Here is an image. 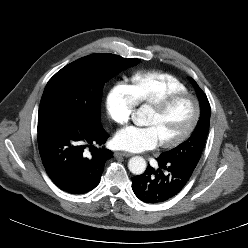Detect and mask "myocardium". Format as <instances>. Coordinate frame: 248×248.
<instances>
[{
    "label": "myocardium",
    "mask_w": 248,
    "mask_h": 248,
    "mask_svg": "<svg viewBox=\"0 0 248 248\" xmlns=\"http://www.w3.org/2000/svg\"><path fill=\"white\" fill-rule=\"evenodd\" d=\"M185 98L190 99L194 105V113L191 122L184 130V132L181 133L178 137L168 141L160 142V146H162L163 148L176 147L182 144L183 142H185L191 136V134L194 132L195 128L197 127L201 116V103L195 95L189 92H175L165 95L164 97L160 98L157 102L150 105V108L153 111H155L158 114H162L166 112L175 102Z\"/></svg>",
    "instance_id": "f54148a6"
}]
</instances>
